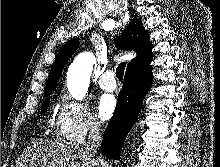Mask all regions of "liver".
I'll list each match as a JSON object with an SVG mask.
<instances>
[{
	"instance_id": "1",
	"label": "liver",
	"mask_w": 220,
	"mask_h": 167,
	"mask_svg": "<svg viewBox=\"0 0 220 167\" xmlns=\"http://www.w3.org/2000/svg\"><path fill=\"white\" fill-rule=\"evenodd\" d=\"M106 165L105 160H95L82 148L51 140H38L23 151L15 167H106Z\"/></svg>"
}]
</instances>
